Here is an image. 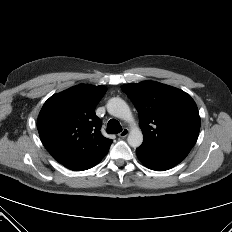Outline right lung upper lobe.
Listing matches in <instances>:
<instances>
[{"label": "right lung upper lobe", "instance_id": "cb5924a9", "mask_svg": "<svg viewBox=\"0 0 232 232\" xmlns=\"http://www.w3.org/2000/svg\"><path fill=\"white\" fill-rule=\"evenodd\" d=\"M104 86L82 84L51 96L37 121L40 139L49 153L67 168L100 161L111 139L102 136L95 107Z\"/></svg>", "mask_w": 232, "mask_h": 232}]
</instances>
